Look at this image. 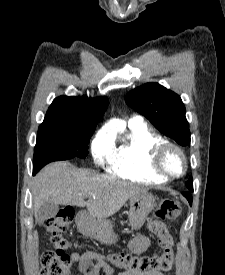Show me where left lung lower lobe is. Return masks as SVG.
Instances as JSON below:
<instances>
[{"mask_svg":"<svg viewBox=\"0 0 225 275\" xmlns=\"http://www.w3.org/2000/svg\"><path fill=\"white\" fill-rule=\"evenodd\" d=\"M191 192H193V190H190ZM183 195L187 198V200L189 201L190 205L192 204V196L189 192H183Z\"/></svg>","mask_w":225,"mask_h":275,"instance_id":"left-lung-lower-lobe-1","label":"left lung lower lobe"}]
</instances>
